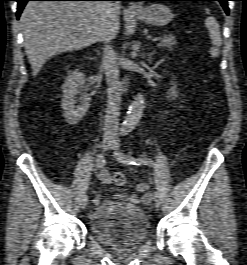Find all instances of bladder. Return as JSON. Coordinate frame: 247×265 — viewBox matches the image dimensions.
I'll return each instance as SVG.
<instances>
[{
	"instance_id": "obj_1",
	"label": "bladder",
	"mask_w": 247,
	"mask_h": 265,
	"mask_svg": "<svg viewBox=\"0 0 247 265\" xmlns=\"http://www.w3.org/2000/svg\"><path fill=\"white\" fill-rule=\"evenodd\" d=\"M89 229L100 243L114 248L133 247L150 233L144 208L120 201L98 204L89 214Z\"/></svg>"
}]
</instances>
